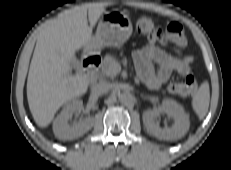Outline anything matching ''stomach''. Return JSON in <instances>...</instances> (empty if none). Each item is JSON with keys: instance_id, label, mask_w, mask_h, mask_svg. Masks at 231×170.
<instances>
[{"instance_id": "stomach-1", "label": "stomach", "mask_w": 231, "mask_h": 170, "mask_svg": "<svg viewBox=\"0 0 231 170\" xmlns=\"http://www.w3.org/2000/svg\"><path fill=\"white\" fill-rule=\"evenodd\" d=\"M132 23L127 14L105 12L100 18L95 35L88 47L101 49L124 44L132 34Z\"/></svg>"}]
</instances>
